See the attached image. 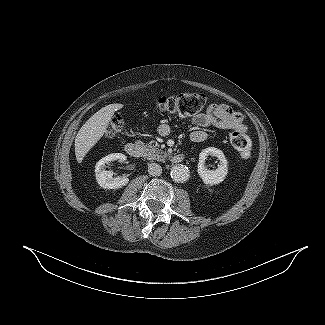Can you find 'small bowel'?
Wrapping results in <instances>:
<instances>
[{"label":"small bowel","instance_id":"1","mask_svg":"<svg viewBox=\"0 0 325 325\" xmlns=\"http://www.w3.org/2000/svg\"><path fill=\"white\" fill-rule=\"evenodd\" d=\"M192 123L197 127L190 134V139L194 143H201L206 140V127H216L221 129L238 130L247 133V127L243 122L242 114L226 104H210L204 113L198 114L192 118ZM161 136L170 133V127L162 124L158 128Z\"/></svg>","mask_w":325,"mask_h":325}]
</instances>
